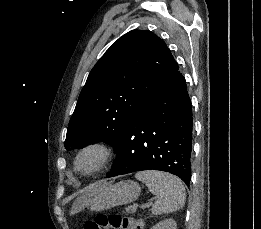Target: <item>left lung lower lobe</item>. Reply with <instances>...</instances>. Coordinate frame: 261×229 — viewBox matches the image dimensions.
<instances>
[{
  "label": "left lung lower lobe",
  "instance_id": "0a47b994",
  "mask_svg": "<svg viewBox=\"0 0 261 229\" xmlns=\"http://www.w3.org/2000/svg\"><path fill=\"white\" fill-rule=\"evenodd\" d=\"M193 120L185 78L177 70L144 101L124 132L107 177L156 169L191 180Z\"/></svg>",
  "mask_w": 261,
  "mask_h": 229
}]
</instances>
